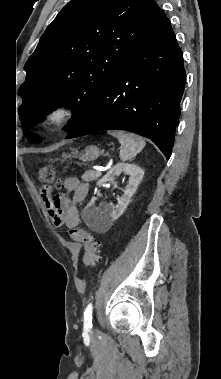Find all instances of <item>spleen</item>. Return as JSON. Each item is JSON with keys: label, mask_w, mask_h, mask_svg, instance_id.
I'll return each instance as SVG.
<instances>
[{"label": "spleen", "mask_w": 221, "mask_h": 379, "mask_svg": "<svg viewBox=\"0 0 221 379\" xmlns=\"http://www.w3.org/2000/svg\"><path fill=\"white\" fill-rule=\"evenodd\" d=\"M111 134L115 136L121 144L119 156L122 161L133 159L145 147V141L135 134L123 131L112 132Z\"/></svg>", "instance_id": "3e777b00"}]
</instances>
